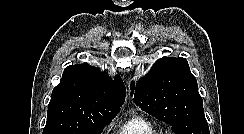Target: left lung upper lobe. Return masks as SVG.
Instances as JSON below:
<instances>
[{"label": "left lung upper lobe", "mask_w": 244, "mask_h": 134, "mask_svg": "<svg viewBox=\"0 0 244 134\" xmlns=\"http://www.w3.org/2000/svg\"><path fill=\"white\" fill-rule=\"evenodd\" d=\"M131 91L137 106L172 125L176 134H209L203 100L185 58H161L136 86L131 83Z\"/></svg>", "instance_id": "1"}]
</instances>
